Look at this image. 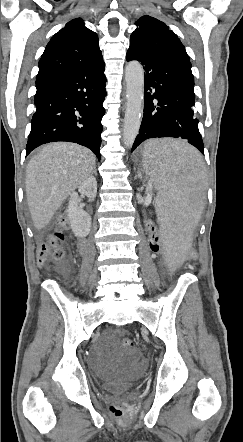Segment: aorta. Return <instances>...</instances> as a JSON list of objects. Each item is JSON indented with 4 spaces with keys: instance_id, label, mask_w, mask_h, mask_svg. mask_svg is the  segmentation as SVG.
Instances as JSON below:
<instances>
[{
    "instance_id": "obj_1",
    "label": "aorta",
    "mask_w": 243,
    "mask_h": 442,
    "mask_svg": "<svg viewBox=\"0 0 243 442\" xmlns=\"http://www.w3.org/2000/svg\"><path fill=\"white\" fill-rule=\"evenodd\" d=\"M126 112L123 128V143L131 148L139 133L144 102V71L141 64L131 61L125 68Z\"/></svg>"
}]
</instances>
